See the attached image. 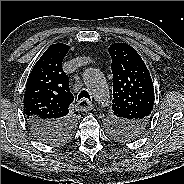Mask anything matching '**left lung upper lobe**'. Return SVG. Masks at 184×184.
I'll use <instances>...</instances> for the list:
<instances>
[{
	"instance_id": "1",
	"label": "left lung upper lobe",
	"mask_w": 184,
	"mask_h": 184,
	"mask_svg": "<svg viewBox=\"0 0 184 184\" xmlns=\"http://www.w3.org/2000/svg\"><path fill=\"white\" fill-rule=\"evenodd\" d=\"M112 58L114 116L109 122L111 135L132 140L146 128L154 105L153 82L137 51L126 43L109 47Z\"/></svg>"
}]
</instances>
